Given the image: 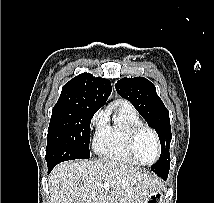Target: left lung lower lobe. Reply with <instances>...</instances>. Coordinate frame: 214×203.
Listing matches in <instances>:
<instances>
[{
  "instance_id": "1",
  "label": "left lung lower lobe",
  "mask_w": 214,
  "mask_h": 203,
  "mask_svg": "<svg viewBox=\"0 0 214 203\" xmlns=\"http://www.w3.org/2000/svg\"><path fill=\"white\" fill-rule=\"evenodd\" d=\"M167 176H168V174L163 175V176H162V179H163V180H166V179H167Z\"/></svg>"
}]
</instances>
